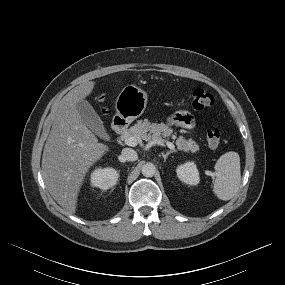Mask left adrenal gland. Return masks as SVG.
<instances>
[{
	"instance_id": "1",
	"label": "left adrenal gland",
	"mask_w": 285,
	"mask_h": 285,
	"mask_svg": "<svg viewBox=\"0 0 285 285\" xmlns=\"http://www.w3.org/2000/svg\"><path fill=\"white\" fill-rule=\"evenodd\" d=\"M176 152V150H170L166 153H162V157L164 158V161H166V159L168 158V156L171 154V153H174Z\"/></svg>"
}]
</instances>
